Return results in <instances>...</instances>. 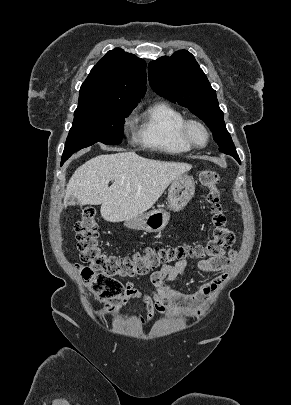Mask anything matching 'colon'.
Here are the masks:
<instances>
[{"mask_svg": "<svg viewBox=\"0 0 291 405\" xmlns=\"http://www.w3.org/2000/svg\"><path fill=\"white\" fill-rule=\"evenodd\" d=\"M219 174L205 168L199 173L200 184L208 190L207 201L211 205L213 231L205 245L147 247L140 252L117 256L104 252L99 242V227L95 210L85 209L74 225L77 248L85 266L79 271L86 287L104 303L105 310L112 312L125 294V288L118 280L144 275L150 270L172 261L187 257L220 258L234 243V234L227 227V219L221 205L218 189Z\"/></svg>", "mask_w": 291, "mask_h": 405, "instance_id": "5ec220e1", "label": "colon"}]
</instances>
